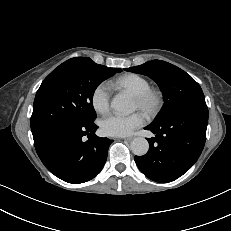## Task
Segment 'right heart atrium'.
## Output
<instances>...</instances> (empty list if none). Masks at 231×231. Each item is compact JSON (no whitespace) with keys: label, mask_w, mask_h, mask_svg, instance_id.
<instances>
[{"label":"right heart atrium","mask_w":231,"mask_h":231,"mask_svg":"<svg viewBox=\"0 0 231 231\" xmlns=\"http://www.w3.org/2000/svg\"><path fill=\"white\" fill-rule=\"evenodd\" d=\"M111 92L109 87L101 83L97 85L91 94V104L94 110L98 113H105L110 106Z\"/></svg>","instance_id":"right-heart-atrium-1"}]
</instances>
